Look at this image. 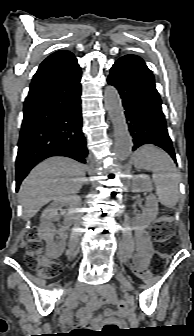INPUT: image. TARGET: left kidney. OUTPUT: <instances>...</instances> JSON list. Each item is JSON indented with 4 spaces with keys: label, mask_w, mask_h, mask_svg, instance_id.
<instances>
[{
    "label": "left kidney",
    "mask_w": 194,
    "mask_h": 336,
    "mask_svg": "<svg viewBox=\"0 0 194 336\" xmlns=\"http://www.w3.org/2000/svg\"><path fill=\"white\" fill-rule=\"evenodd\" d=\"M152 189L153 186L149 176L145 174H140L133 178V192H151ZM158 210V200L154 195H149L146 199V208L144 212L134 220V224L142 228L147 227L156 219L158 215Z\"/></svg>",
    "instance_id": "obj_1"
}]
</instances>
